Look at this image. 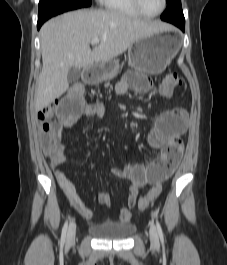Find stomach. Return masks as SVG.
I'll list each match as a JSON object with an SVG mask.
<instances>
[{"label": "stomach", "mask_w": 227, "mask_h": 265, "mask_svg": "<svg viewBox=\"0 0 227 265\" xmlns=\"http://www.w3.org/2000/svg\"><path fill=\"white\" fill-rule=\"evenodd\" d=\"M180 49L178 36L155 33L144 36L128 49L129 65L140 72L157 75L170 64ZM118 62L111 60L92 67L87 82L99 83L113 78L118 72Z\"/></svg>", "instance_id": "0dacf381"}]
</instances>
